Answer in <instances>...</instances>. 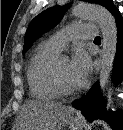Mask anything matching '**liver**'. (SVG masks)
<instances>
[{
    "instance_id": "6515ba94",
    "label": "liver",
    "mask_w": 123,
    "mask_h": 130,
    "mask_svg": "<svg viewBox=\"0 0 123 130\" xmlns=\"http://www.w3.org/2000/svg\"><path fill=\"white\" fill-rule=\"evenodd\" d=\"M74 110L57 102L30 100L21 108L18 130H61L73 117Z\"/></svg>"
}]
</instances>
